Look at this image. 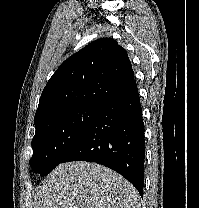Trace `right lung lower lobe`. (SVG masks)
Segmentation results:
<instances>
[{
  "instance_id": "1",
  "label": "right lung lower lobe",
  "mask_w": 199,
  "mask_h": 208,
  "mask_svg": "<svg viewBox=\"0 0 199 208\" xmlns=\"http://www.w3.org/2000/svg\"><path fill=\"white\" fill-rule=\"evenodd\" d=\"M144 123L136 83L103 102L61 163L89 161L109 167L143 196Z\"/></svg>"
}]
</instances>
